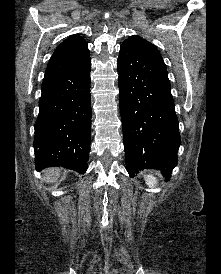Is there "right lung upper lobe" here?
I'll return each mask as SVG.
<instances>
[{"instance_id": "cb5924a9", "label": "right lung upper lobe", "mask_w": 221, "mask_h": 274, "mask_svg": "<svg viewBox=\"0 0 221 274\" xmlns=\"http://www.w3.org/2000/svg\"><path fill=\"white\" fill-rule=\"evenodd\" d=\"M90 60L87 42L79 35H72L63 41L51 56L44 79L79 67Z\"/></svg>"}]
</instances>
